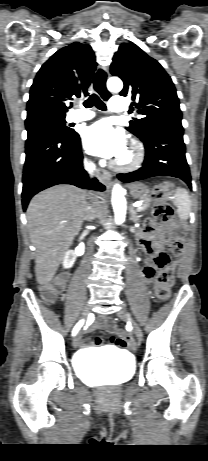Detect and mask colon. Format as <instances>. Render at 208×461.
I'll return each instance as SVG.
<instances>
[{
    "label": "colon",
    "mask_w": 208,
    "mask_h": 461,
    "mask_svg": "<svg viewBox=\"0 0 208 461\" xmlns=\"http://www.w3.org/2000/svg\"><path fill=\"white\" fill-rule=\"evenodd\" d=\"M170 186L167 184L159 185L154 188L152 195L158 201L154 209L155 219L162 225H175L176 230L180 229L183 233V227L176 221L174 210L168 202V193ZM172 248L179 251L182 248L181 241L176 239L172 243ZM154 265L160 269L154 283V292L157 298L166 301L171 296V286L174 282V267L169 265V255L166 252L158 254L154 258ZM64 288L62 280H56L42 288V293L47 301L55 300ZM121 344L125 348L128 336L119 334Z\"/></svg>",
    "instance_id": "5ec220e1"
}]
</instances>
